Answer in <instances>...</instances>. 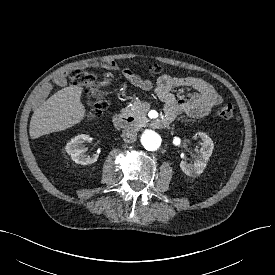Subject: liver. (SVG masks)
Returning <instances> with one entry per match:
<instances>
[{
	"instance_id": "liver-1",
	"label": "liver",
	"mask_w": 275,
	"mask_h": 275,
	"mask_svg": "<svg viewBox=\"0 0 275 275\" xmlns=\"http://www.w3.org/2000/svg\"><path fill=\"white\" fill-rule=\"evenodd\" d=\"M109 80L99 83L109 85ZM83 88L72 85L65 87L34 110L29 133L32 139L43 135L63 131L80 123L86 116V109L81 102Z\"/></svg>"
}]
</instances>
